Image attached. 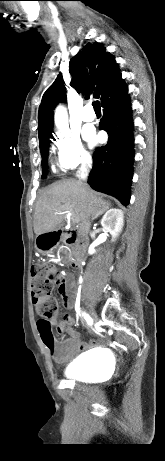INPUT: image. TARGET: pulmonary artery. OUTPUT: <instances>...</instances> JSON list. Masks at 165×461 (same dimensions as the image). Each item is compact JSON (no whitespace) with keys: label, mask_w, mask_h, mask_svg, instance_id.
Returning a JSON list of instances; mask_svg holds the SVG:
<instances>
[{"label":"pulmonary artery","mask_w":165,"mask_h":461,"mask_svg":"<svg viewBox=\"0 0 165 461\" xmlns=\"http://www.w3.org/2000/svg\"><path fill=\"white\" fill-rule=\"evenodd\" d=\"M81 118L85 122H92L95 119V114L89 105L82 109Z\"/></svg>","instance_id":"1"}]
</instances>
